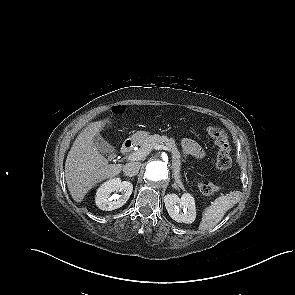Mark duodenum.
<instances>
[{"mask_svg": "<svg viewBox=\"0 0 295 295\" xmlns=\"http://www.w3.org/2000/svg\"><path fill=\"white\" fill-rule=\"evenodd\" d=\"M134 146H135V140L133 139L126 140L124 144L122 145L121 153L123 155L130 153L133 150Z\"/></svg>", "mask_w": 295, "mask_h": 295, "instance_id": "obj_1", "label": "duodenum"}]
</instances>
